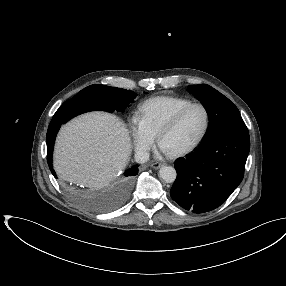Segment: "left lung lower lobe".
<instances>
[{
  "label": "left lung lower lobe",
  "instance_id": "0a47b994",
  "mask_svg": "<svg viewBox=\"0 0 286 286\" xmlns=\"http://www.w3.org/2000/svg\"><path fill=\"white\" fill-rule=\"evenodd\" d=\"M250 150L248 132H228L203 140L189 158L175 165L172 199L194 213L219 207L244 176Z\"/></svg>",
  "mask_w": 286,
  "mask_h": 286
}]
</instances>
